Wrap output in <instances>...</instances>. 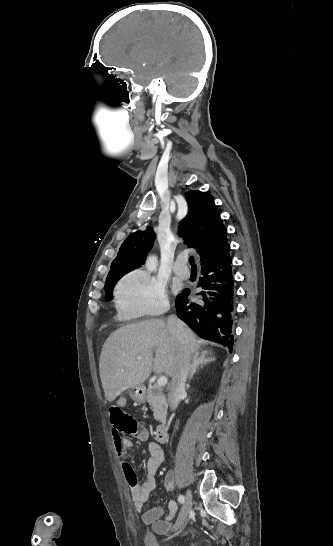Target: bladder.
Returning a JSON list of instances; mask_svg holds the SVG:
<instances>
[{"mask_svg":"<svg viewBox=\"0 0 333 546\" xmlns=\"http://www.w3.org/2000/svg\"><path fill=\"white\" fill-rule=\"evenodd\" d=\"M155 532H156L155 528H152L145 532L144 538H143L145 546H164V545H160L158 541L156 540ZM171 546H177V545H171Z\"/></svg>","mask_w":333,"mask_h":546,"instance_id":"1","label":"bladder"}]
</instances>
